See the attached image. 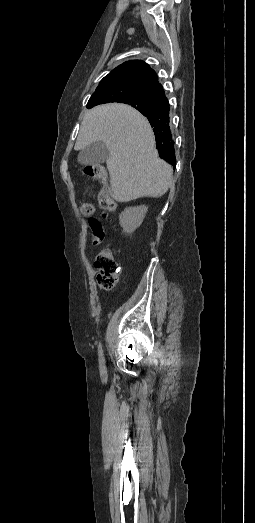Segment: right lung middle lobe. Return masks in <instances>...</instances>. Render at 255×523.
<instances>
[{
	"instance_id": "1",
	"label": "right lung middle lobe",
	"mask_w": 255,
	"mask_h": 523,
	"mask_svg": "<svg viewBox=\"0 0 255 523\" xmlns=\"http://www.w3.org/2000/svg\"><path fill=\"white\" fill-rule=\"evenodd\" d=\"M105 97L110 101L122 103L143 102L148 98L146 92L139 89H128L116 93H109Z\"/></svg>"
}]
</instances>
